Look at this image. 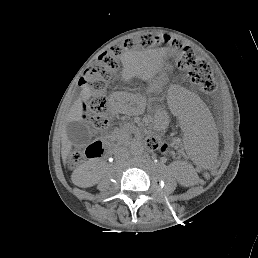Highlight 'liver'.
<instances>
[{
	"label": "liver",
	"mask_w": 258,
	"mask_h": 258,
	"mask_svg": "<svg viewBox=\"0 0 258 258\" xmlns=\"http://www.w3.org/2000/svg\"><path fill=\"white\" fill-rule=\"evenodd\" d=\"M151 71H152V69H147L145 71L132 69L131 66H129L127 63H125L123 75H124L125 79H129L130 77L133 76V74L145 73L148 75V74H151ZM90 96H91V93H90L89 89L82 91L81 98L75 103V105L73 106V108L70 112V117H69L70 122L82 120L83 102L88 100L90 98ZM71 149H72V142L68 139L67 132L65 131L64 136H63V142H62V157L64 160L67 159ZM82 185L85 186L87 184L83 183Z\"/></svg>",
	"instance_id": "liver-1"
}]
</instances>
